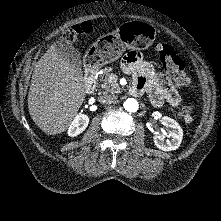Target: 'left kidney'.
<instances>
[{"mask_svg":"<svg viewBox=\"0 0 221 221\" xmlns=\"http://www.w3.org/2000/svg\"><path fill=\"white\" fill-rule=\"evenodd\" d=\"M162 122L171 129L168 135V137L171 139L165 140L163 135H155L153 136L155 145L157 148L163 151H172L178 149L183 138L182 128L174 119L167 116L162 118Z\"/></svg>","mask_w":221,"mask_h":221,"instance_id":"5707ae66","label":"left kidney"}]
</instances>
